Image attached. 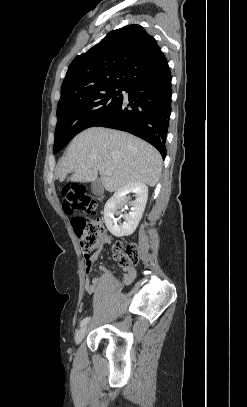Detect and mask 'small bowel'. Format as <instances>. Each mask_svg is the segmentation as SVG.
I'll list each match as a JSON object with an SVG mask.
<instances>
[{
  "mask_svg": "<svg viewBox=\"0 0 247 407\" xmlns=\"http://www.w3.org/2000/svg\"><path fill=\"white\" fill-rule=\"evenodd\" d=\"M109 243V238L108 237H103V239L100 241V243L97 246L96 251L88 256L85 257V272L88 274L91 272L94 263L98 260L99 253L101 249L103 248L104 245ZM99 269L104 272L105 274H111L110 271L104 267V266H99ZM136 277V271L133 267H128L124 268V274H123V281L122 283L125 285L130 284ZM102 284V279L98 276L93 277L90 281H86L85 283V290L88 294H95L98 290V288Z\"/></svg>",
  "mask_w": 247,
  "mask_h": 407,
  "instance_id": "small-bowel-1",
  "label": "small bowel"
}]
</instances>
